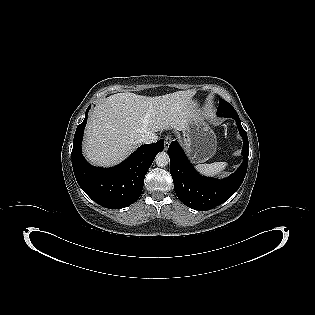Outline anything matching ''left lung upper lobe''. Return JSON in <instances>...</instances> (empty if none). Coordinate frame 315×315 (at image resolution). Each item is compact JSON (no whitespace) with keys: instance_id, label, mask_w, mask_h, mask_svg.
Segmentation results:
<instances>
[{"instance_id":"obj_1","label":"left lung upper lobe","mask_w":315,"mask_h":315,"mask_svg":"<svg viewBox=\"0 0 315 315\" xmlns=\"http://www.w3.org/2000/svg\"><path fill=\"white\" fill-rule=\"evenodd\" d=\"M217 115L223 116V117H231V118H238V114L233 108L232 105H230L228 102H226L223 99L219 100V106L217 109Z\"/></svg>"}]
</instances>
